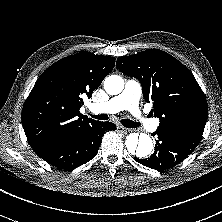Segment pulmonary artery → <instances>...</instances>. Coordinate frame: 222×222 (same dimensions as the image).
Masks as SVG:
<instances>
[{"instance_id": "1", "label": "pulmonary artery", "mask_w": 222, "mask_h": 222, "mask_svg": "<svg viewBox=\"0 0 222 222\" xmlns=\"http://www.w3.org/2000/svg\"><path fill=\"white\" fill-rule=\"evenodd\" d=\"M141 96V86L135 80H128L124 90L112 99L91 105L90 109L94 113H116L121 110H128L134 122L147 130L154 131L157 128V120L150 118L138 108Z\"/></svg>"}]
</instances>
